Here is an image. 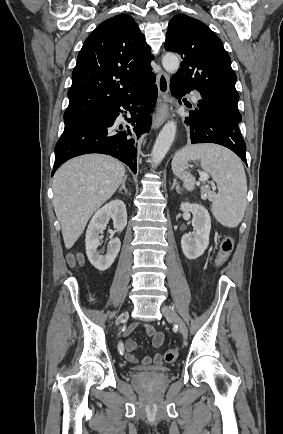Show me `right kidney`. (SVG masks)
<instances>
[{
    "label": "right kidney",
    "mask_w": 283,
    "mask_h": 434,
    "mask_svg": "<svg viewBox=\"0 0 283 434\" xmlns=\"http://www.w3.org/2000/svg\"><path fill=\"white\" fill-rule=\"evenodd\" d=\"M113 219L114 228L121 232L127 225L126 206L121 200H113L99 209L92 217L86 231V254L90 263L99 271L111 267L121 247L119 238L111 239L105 255H101L98 247L109 219Z\"/></svg>",
    "instance_id": "right-kidney-1"
}]
</instances>
